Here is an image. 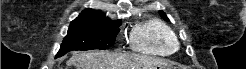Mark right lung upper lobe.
Wrapping results in <instances>:
<instances>
[{
    "mask_svg": "<svg viewBox=\"0 0 246 69\" xmlns=\"http://www.w3.org/2000/svg\"><path fill=\"white\" fill-rule=\"evenodd\" d=\"M74 21H110L102 12L86 9ZM120 20L114 21L119 22Z\"/></svg>",
    "mask_w": 246,
    "mask_h": 69,
    "instance_id": "right-lung-upper-lobe-1",
    "label": "right lung upper lobe"
}]
</instances>
